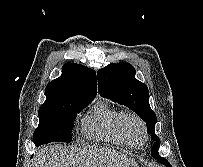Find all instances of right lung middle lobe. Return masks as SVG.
Here are the masks:
<instances>
[{"label":"right lung middle lobe","mask_w":203,"mask_h":167,"mask_svg":"<svg viewBox=\"0 0 203 167\" xmlns=\"http://www.w3.org/2000/svg\"><path fill=\"white\" fill-rule=\"evenodd\" d=\"M93 99L73 100L54 108L39 109V125L34 132V143H70L74 119Z\"/></svg>","instance_id":"dd1d6c3e"}]
</instances>
